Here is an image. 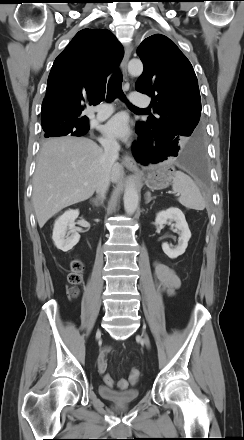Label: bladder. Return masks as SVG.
<instances>
[{"instance_id":"31cf9c89","label":"bladder","mask_w":244,"mask_h":440,"mask_svg":"<svg viewBox=\"0 0 244 440\" xmlns=\"http://www.w3.org/2000/svg\"><path fill=\"white\" fill-rule=\"evenodd\" d=\"M98 392L103 399L117 404L133 403L139 399L140 395L135 388L117 391L105 385H100Z\"/></svg>"}]
</instances>
